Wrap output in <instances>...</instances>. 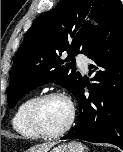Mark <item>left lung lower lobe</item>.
Segmentation results:
<instances>
[{
    "instance_id": "obj_1",
    "label": "left lung lower lobe",
    "mask_w": 123,
    "mask_h": 152,
    "mask_svg": "<svg viewBox=\"0 0 123 152\" xmlns=\"http://www.w3.org/2000/svg\"><path fill=\"white\" fill-rule=\"evenodd\" d=\"M108 36V37H107ZM93 60L90 75L97 83L83 84L76 94L80 119L61 139H81L94 143H110L123 150V6L108 16L100 37L86 55Z\"/></svg>"
}]
</instances>
